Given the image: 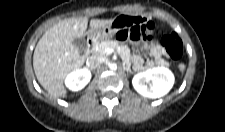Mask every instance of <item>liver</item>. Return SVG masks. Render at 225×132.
Returning <instances> with one entry per match:
<instances>
[{
  "mask_svg": "<svg viewBox=\"0 0 225 132\" xmlns=\"http://www.w3.org/2000/svg\"><path fill=\"white\" fill-rule=\"evenodd\" d=\"M110 20L70 18L50 27L38 41L33 54V68L38 82L53 97H65V77L80 68L86 57L73 45L75 38H83L99 28L112 24Z\"/></svg>",
  "mask_w": 225,
  "mask_h": 132,
  "instance_id": "1",
  "label": "liver"
}]
</instances>
